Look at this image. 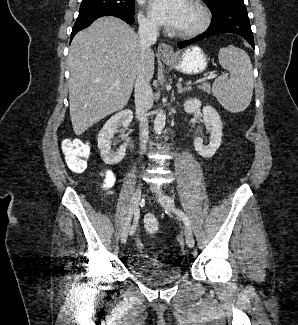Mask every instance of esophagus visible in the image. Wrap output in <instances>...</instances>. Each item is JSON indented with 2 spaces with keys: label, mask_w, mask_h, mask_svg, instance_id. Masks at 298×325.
I'll list each match as a JSON object with an SVG mask.
<instances>
[{
  "label": "esophagus",
  "mask_w": 298,
  "mask_h": 325,
  "mask_svg": "<svg viewBox=\"0 0 298 325\" xmlns=\"http://www.w3.org/2000/svg\"><path fill=\"white\" fill-rule=\"evenodd\" d=\"M157 52L161 58L172 59V57H174V50L170 45H167V43H160Z\"/></svg>",
  "instance_id": "1"
}]
</instances>
